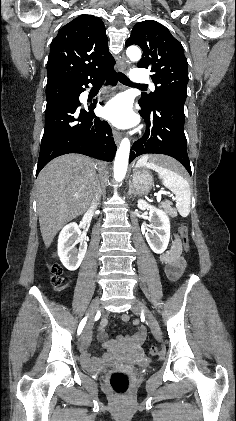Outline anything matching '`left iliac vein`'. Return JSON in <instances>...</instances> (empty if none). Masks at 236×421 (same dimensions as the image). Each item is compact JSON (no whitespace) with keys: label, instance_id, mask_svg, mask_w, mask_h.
Masks as SVG:
<instances>
[{"label":"left iliac vein","instance_id":"1","mask_svg":"<svg viewBox=\"0 0 236 421\" xmlns=\"http://www.w3.org/2000/svg\"><path fill=\"white\" fill-rule=\"evenodd\" d=\"M141 311L143 312V315L145 316L148 326L152 332V334L154 335V337L157 340H161L162 338V334H161V330H160V326L156 320V318L154 317V315L152 314V312L149 310V308L141 303V301L137 298L133 299V306H132V312L140 315Z\"/></svg>","mask_w":236,"mask_h":421}]
</instances>
